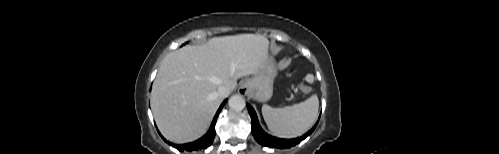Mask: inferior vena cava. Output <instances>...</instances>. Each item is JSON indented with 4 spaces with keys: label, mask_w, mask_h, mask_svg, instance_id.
Wrapping results in <instances>:
<instances>
[{
    "label": "inferior vena cava",
    "mask_w": 499,
    "mask_h": 154,
    "mask_svg": "<svg viewBox=\"0 0 499 154\" xmlns=\"http://www.w3.org/2000/svg\"><path fill=\"white\" fill-rule=\"evenodd\" d=\"M216 94H217V96L219 98H224V97H227L230 94V91L225 86H220L217 89Z\"/></svg>",
    "instance_id": "inferior-vena-cava-1"
}]
</instances>
